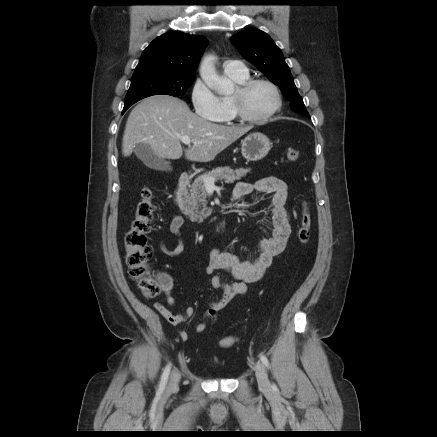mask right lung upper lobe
Here are the masks:
<instances>
[{"mask_svg": "<svg viewBox=\"0 0 437 437\" xmlns=\"http://www.w3.org/2000/svg\"><path fill=\"white\" fill-rule=\"evenodd\" d=\"M207 43V39L201 35L167 32L143 51L135 72L156 69L171 75L195 76Z\"/></svg>", "mask_w": 437, "mask_h": 437, "instance_id": "1", "label": "right lung upper lobe"}]
</instances>
